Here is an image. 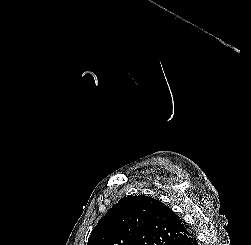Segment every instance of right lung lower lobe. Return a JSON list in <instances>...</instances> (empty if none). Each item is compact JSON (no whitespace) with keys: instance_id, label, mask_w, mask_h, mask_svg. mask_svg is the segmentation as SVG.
I'll list each match as a JSON object with an SVG mask.
<instances>
[{"instance_id":"obj_1","label":"right lung lower lobe","mask_w":251,"mask_h":245,"mask_svg":"<svg viewBox=\"0 0 251 245\" xmlns=\"http://www.w3.org/2000/svg\"><path fill=\"white\" fill-rule=\"evenodd\" d=\"M170 245H198V243L195 235L188 229L187 233L171 242Z\"/></svg>"}]
</instances>
